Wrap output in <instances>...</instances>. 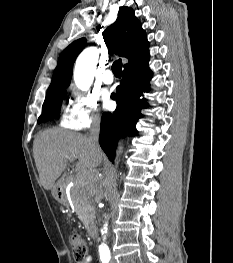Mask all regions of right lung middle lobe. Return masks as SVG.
Wrapping results in <instances>:
<instances>
[{
    "mask_svg": "<svg viewBox=\"0 0 233 263\" xmlns=\"http://www.w3.org/2000/svg\"><path fill=\"white\" fill-rule=\"evenodd\" d=\"M65 94L66 88H63L46 95L42 106V114L38 119V123L59 117L61 103Z\"/></svg>",
    "mask_w": 233,
    "mask_h": 263,
    "instance_id": "dd1d6c3e",
    "label": "right lung middle lobe"
}]
</instances>
